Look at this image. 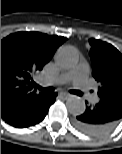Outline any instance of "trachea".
Here are the masks:
<instances>
[{"instance_id":"obj_1","label":"trachea","mask_w":122,"mask_h":154,"mask_svg":"<svg viewBox=\"0 0 122 154\" xmlns=\"http://www.w3.org/2000/svg\"><path fill=\"white\" fill-rule=\"evenodd\" d=\"M34 86H35V88H37L39 90H42V91H45V92H48V93H53V91H54V88L53 87L43 88V87H41V86H39L37 84H35ZM70 92L73 93V94H77L79 96L82 95V92L77 91V90H70Z\"/></svg>"}]
</instances>
